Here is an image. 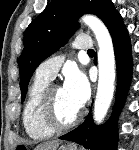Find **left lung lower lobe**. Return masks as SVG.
I'll list each match as a JSON object with an SVG mask.
<instances>
[{
    "label": "left lung lower lobe",
    "mask_w": 139,
    "mask_h": 150,
    "mask_svg": "<svg viewBox=\"0 0 139 150\" xmlns=\"http://www.w3.org/2000/svg\"><path fill=\"white\" fill-rule=\"evenodd\" d=\"M104 23L113 40L117 65L118 83L114 112L111 118L100 126L93 123L89 113L80 126L59 138L76 142L88 149L116 150L118 140L116 118L123 106L132 75L131 43L122 17L114 7L108 13Z\"/></svg>",
    "instance_id": "obj_1"
}]
</instances>
